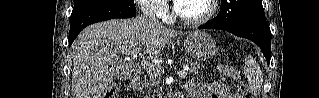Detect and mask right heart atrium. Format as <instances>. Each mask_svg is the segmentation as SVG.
Masks as SVG:
<instances>
[{
    "label": "right heart atrium",
    "mask_w": 319,
    "mask_h": 98,
    "mask_svg": "<svg viewBox=\"0 0 319 98\" xmlns=\"http://www.w3.org/2000/svg\"><path fill=\"white\" fill-rule=\"evenodd\" d=\"M137 4L141 6L150 17L160 18L167 15V5L163 0H139Z\"/></svg>",
    "instance_id": "1"
}]
</instances>
